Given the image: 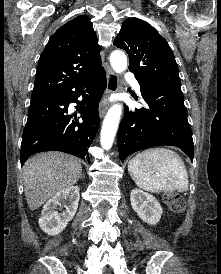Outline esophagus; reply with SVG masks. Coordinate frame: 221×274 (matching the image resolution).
<instances>
[{"label": "esophagus", "instance_id": "34e87169", "mask_svg": "<svg viewBox=\"0 0 221 274\" xmlns=\"http://www.w3.org/2000/svg\"><path fill=\"white\" fill-rule=\"evenodd\" d=\"M119 89V78L117 74L111 69L107 73V88L105 91V97L111 93L117 92ZM109 108L108 103L102 102L99 107V115L102 118Z\"/></svg>", "mask_w": 221, "mask_h": 274}]
</instances>
